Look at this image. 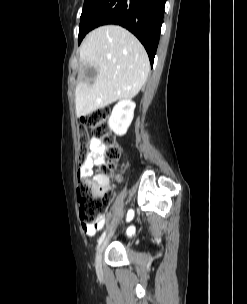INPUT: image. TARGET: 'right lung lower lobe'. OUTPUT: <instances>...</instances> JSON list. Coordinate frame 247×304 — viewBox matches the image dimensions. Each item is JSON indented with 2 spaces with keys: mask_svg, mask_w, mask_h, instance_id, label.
<instances>
[{
  "mask_svg": "<svg viewBox=\"0 0 247 304\" xmlns=\"http://www.w3.org/2000/svg\"><path fill=\"white\" fill-rule=\"evenodd\" d=\"M165 2L166 0H100L81 22L83 34L85 36L90 30L105 24L120 25L140 40L153 65ZM82 39L78 40L79 44Z\"/></svg>",
  "mask_w": 247,
  "mask_h": 304,
  "instance_id": "obj_1",
  "label": "right lung lower lobe"
}]
</instances>
